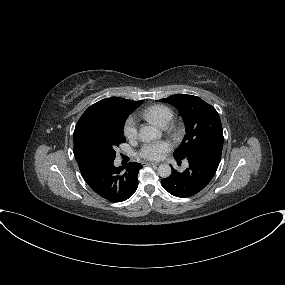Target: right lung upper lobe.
Instances as JSON below:
<instances>
[{"label":"right lung upper lobe","mask_w":285,"mask_h":285,"mask_svg":"<svg viewBox=\"0 0 285 285\" xmlns=\"http://www.w3.org/2000/svg\"><path fill=\"white\" fill-rule=\"evenodd\" d=\"M143 101H132L120 97L105 98L91 105L80 117L76 127L93 120L102 118H111L119 111L133 109L135 110ZM79 165V164H78Z\"/></svg>","instance_id":"obj_1"}]
</instances>
